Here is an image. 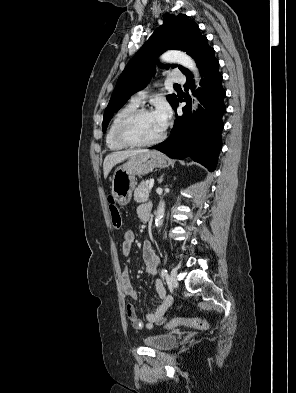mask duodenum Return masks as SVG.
Returning a JSON list of instances; mask_svg holds the SVG:
<instances>
[{"mask_svg":"<svg viewBox=\"0 0 296 393\" xmlns=\"http://www.w3.org/2000/svg\"><path fill=\"white\" fill-rule=\"evenodd\" d=\"M150 218H151V213L149 214V216L146 217V220L148 221L150 220Z\"/></svg>","mask_w":296,"mask_h":393,"instance_id":"410a0bca","label":"duodenum"}]
</instances>
